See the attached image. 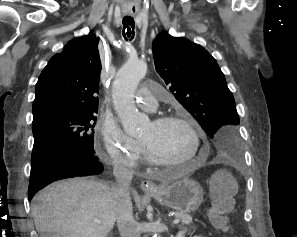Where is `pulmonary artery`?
Listing matches in <instances>:
<instances>
[{"label": "pulmonary artery", "instance_id": "1", "mask_svg": "<svg viewBox=\"0 0 297 237\" xmlns=\"http://www.w3.org/2000/svg\"><path fill=\"white\" fill-rule=\"evenodd\" d=\"M161 98V91L150 85L141 86L136 97V102L144 108H155L157 100Z\"/></svg>", "mask_w": 297, "mask_h": 237}]
</instances>
